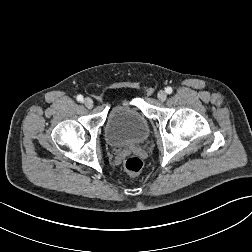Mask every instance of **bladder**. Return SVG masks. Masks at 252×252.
Listing matches in <instances>:
<instances>
[{
    "instance_id": "obj_1",
    "label": "bladder",
    "mask_w": 252,
    "mask_h": 252,
    "mask_svg": "<svg viewBox=\"0 0 252 252\" xmlns=\"http://www.w3.org/2000/svg\"><path fill=\"white\" fill-rule=\"evenodd\" d=\"M149 131L146 117L135 107L125 103L110 107L104 127L105 139L110 146L141 143L146 140Z\"/></svg>"
}]
</instances>
